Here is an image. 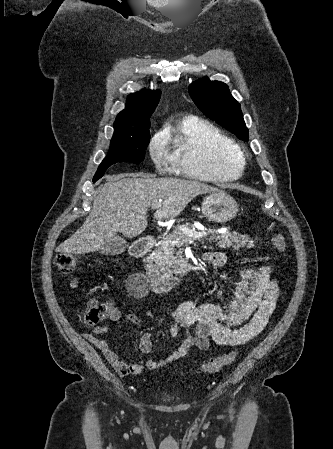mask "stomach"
<instances>
[{
	"label": "stomach",
	"mask_w": 333,
	"mask_h": 449,
	"mask_svg": "<svg viewBox=\"0 0 333 449\" xmlns=\"http://www.w3.org/2000/svg\"><path fill=\"white\" fill-rule=\"evenodd\" d=\"M203 215L212 222L226 223L235 218L238 203L223 191L211 193L202 202Z\"/></svg>",
	"instance_id": "obj_1"
}]
</instances>
